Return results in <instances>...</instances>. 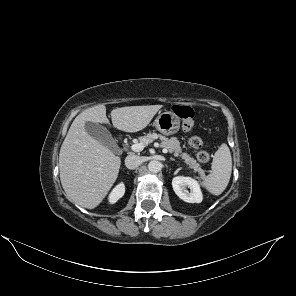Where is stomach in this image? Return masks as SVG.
Masks as SVG:
<instances>
[{
	"label": "stomach",
	"mask_w": 296,
	"mask_h": 296,
	"mask_svg": "<svg viewBox=\"0 0 296 296\" xmlns=\"http://www.w3.org/2000/svg\"><path fill=\"white\" fill-rule=\"evenodd\" d=\"M154 125L160 133L172 135L179 131L180 118L174 112H162L156 117Z\"/></svg>",
	"instance_id": "1"
}]
</instances>
